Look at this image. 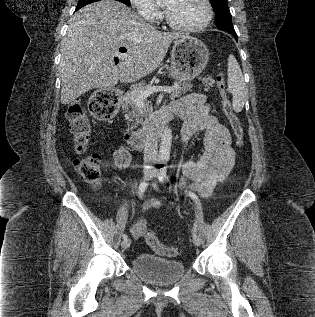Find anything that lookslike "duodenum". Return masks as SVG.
Instances as JSON below:
<instances>
[{"instance_id": "obj_1", "label": "duodenum", "mask_w": 315, "mask_h": 317, "mask_svg": "<svg viewBox=\"0 0 315 317\" xmlns=\"http://www.w3.org/2000/svg\"><path fill=\"white\" fill-rule=\"evenodd\" d=\"M174 114H176L175 111L163 108L147 128L134 132H126L124 139L128 147L134 151L141 150L149 138L158 137L162 133L165 125L173 118Z\"/></svg>"}]
</instances>
